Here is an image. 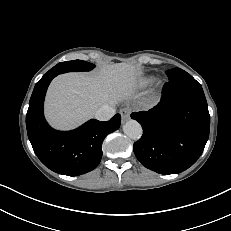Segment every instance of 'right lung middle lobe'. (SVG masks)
<instances>
[{
    "instance_id": "right-lung-middle-lobe-1",
    "label": "right lung middle lobe",
    "mask_w": 231,
    "mask_h": 231,
    "mask_svg": "<svg viewBox=\"0 0 231 231\" xmlns=\"http://www.w3.org/2000/svg\"><path fill=\"white\" fill-rule=\"evenodd\" d=\"M95 67V65L82 61V60H73L67 62H61L49 70L43 77L50 75H58L66 72L74 71H90Z\"/></svg>"
}]
</instances>
